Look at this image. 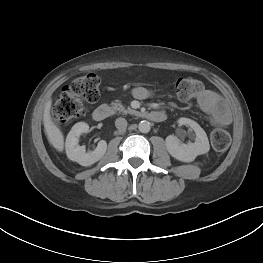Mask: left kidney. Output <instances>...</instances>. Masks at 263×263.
Listing matches in <instances>:
<instances>
[{
	"instance_id": "obj_1",
	"label": "left kidney",
	"mask_w": 263,
	"mask_h": 263,
	"mask_svg": "<svg viewBox=\"0 0 263 263\" xmlns=\"http://www.w3.org/2000/svg\"><path fill=\"white\" fill-rule=\"evenodd\" d=\"M178 124L191 127L196 133V138L194 143L184 144L174 135L167 136L166 148L172 157L182 162H192L198 155L209 151L210 145L206 132L197 122L182 117L178 120Z\"/></svg>"
}]
</instances>
